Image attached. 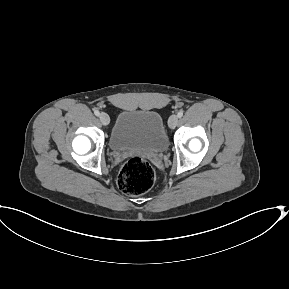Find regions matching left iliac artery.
<instances>
[{"mask_svg": "<svg viewBox=\"0 0 289 289\" xmlns=\"http://www.w3.org/2000/svg\"><path fill=\"white\" fill-rule=\"evenodd\" d=\"M177 116H178L179 118H181V117L183 116V111L180 110V111L177 113Z\"/></svg>", "mask_w": 289, "mask_h": 289, "instance_id": "left-iliac-artery-1", "label": "left iliac artery"}]
</instances>
